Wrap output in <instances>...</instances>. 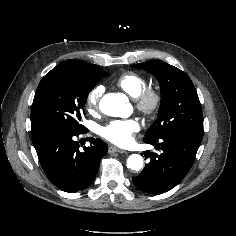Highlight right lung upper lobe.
Listing matches in <instances>:
<instances>
[{"label":"right lung upper lobe","mask_w":236,"mask_h":236,"mask_svg":"<svg viewBox=\"0 0 236 236\" xmlns=\"http://www.w3.org/2000/svg\"><path fill=\"white\" fill-rule=\"evenodd\" d=\"M63 64L73 65L89 76H97L102 71L96 65L88 64L77 60H68L63 62Z\"/></svg>","instance_id":"right-lung-upper-lobe-1"}]
</instances>
